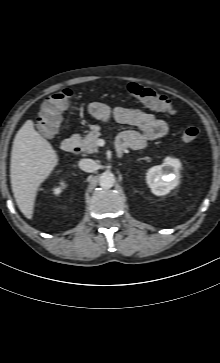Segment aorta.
Wrapping results in <instances>:
<instances>
[{
	"label": "aorta",
	"instance_id": "obj_1",
	"mask_svg": "<svg viewBox=\"0 0 220 363\" xmlns=\"http://www.w3.org/2000/svg\"><path fill=\"white\" fill-rule=\"evenodd\" d=\"M115 183L114 174L108 171L103 172L99 177V185L102 188L109 189Z\"/></svg>",
	"mask_w": 220,
	"mask_h": 363
}]
</instances>
